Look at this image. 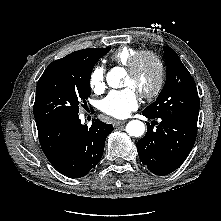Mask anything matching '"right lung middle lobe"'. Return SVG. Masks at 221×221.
Wrapping results in <instances>:
<instances>
[{
	"instance_id": "obj_1",
	"label": "right lung middle lobe",
	"mask_w": 221,
	"mask_h": 221,
	"mask_svg": "<svg viewBox=\"0 0 221 221\" xmlns=\"http://www.w3.org/2000/svg\"><path fill=\"white\" fill-rule=\"evenodd\" d=\"M111 50L93 49L52 62L36 87L33 107L36 124L78 116L90 96V77L95 63Z\"/></svg>"
}]
</instances>
